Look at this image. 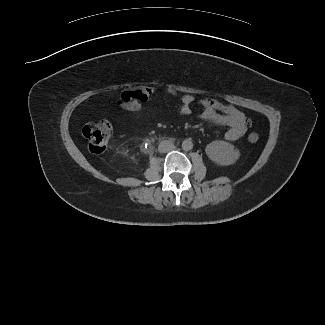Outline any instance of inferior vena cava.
<instances>
[{"mask_svg":"<svg viewBox=\"0 0 325 325\" xmlns=\"http://www.w3.org/2000/svg\"><path fill=\"white\" fill-rule=\"evenodd\" d=\"M175 148L174 144L170 141H162L159 146H158V150L161 153H167L171 150H173Z\"/></svg>","mask_w":325,"mask_h":325,"instance_id":"inferior-vena-cava-1","label":"inferior vena cava"}]
</instances>
